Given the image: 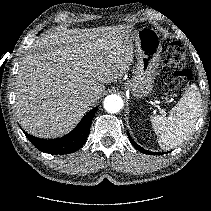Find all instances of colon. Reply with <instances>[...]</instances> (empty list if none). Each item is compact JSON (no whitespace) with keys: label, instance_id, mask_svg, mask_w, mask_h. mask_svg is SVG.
<instances>
[{"label":"colon","instance_id":"5ec220e1","mask_svg":"<svg viewBox=\"0 0 211 211\" xmlns=\"http://www.w3.org/2000/svg\"><path fill=\"white\" fill-rule=\"evenodd\" d=\"M162 59L165 65L174 68L165 75V83L171 94L180 96L187 88L192 77L189 70L179 69L186 62L183 46L179 42L170 43Z\"/></svg>","mask_w":211,"mask_h":211}]
</instances>
